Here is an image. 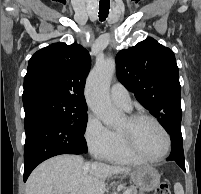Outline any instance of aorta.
<instances>
[{
  "label": "aorta",
  "mask_w": 201,
  "mask_h": 194,
  "mask_svg": "<svg viewBox=\"0 0 201 194\" xmlns=\"http://www.w3.org/2000/svg\"><path fill=\"white\" fill-rule=\"evenodd\" d=\"M115 69L114 59H98L86 82V100L90 109L110 127L117 126L122 116L109 98V86Z\"/></svg>",
  "instance_id": "1"
}]
</instances>
